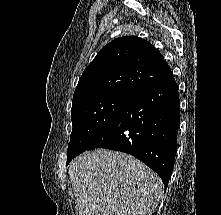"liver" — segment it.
Here are the masks:
<instances>
[{
  "label": "liver",
  "instance_id": "6515ba94",
  "mask_svg": "<svg viewBox=\"0 0 221 215\" xmlns=\"http://www.w3.org/2000/svg\"><path fill=\"white\" fill-rule=\"evenodd\" d=\"M79 215H152L163 192L159 176L135 157L108 149L70 163Z\"/></svg>",
  "mask_w": 221,
  "mask_h": 215
}]
</instances>
